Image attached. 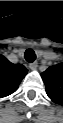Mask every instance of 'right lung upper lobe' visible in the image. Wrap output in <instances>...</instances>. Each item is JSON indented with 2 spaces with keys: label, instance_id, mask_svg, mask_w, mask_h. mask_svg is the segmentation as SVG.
Segmentation results:
<instances>
[{
  "label": "right lung upper lobe",
  "instance_id": "cb5924a9",
  "mask_svg": "<svg viewBox=\"0 0 63 123\" xmlns=\"http://www.w3.org/2000/svg\"><path fill=\"white\" fill-rule=\"evenodd\" d=\"M27 71L22 64H13L2 57L0 64V96L5 97L14 93Z\"/></svg>",
  "mask_w": 63,
  "mask_h": 123
}]
</instances>
